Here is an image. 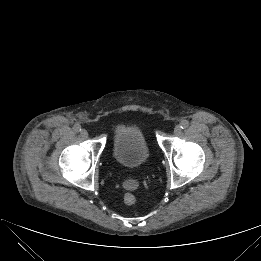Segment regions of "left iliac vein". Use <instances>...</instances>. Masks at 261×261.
<instances>
[{
	"mask_svg": "<svg viewBox=\"0 0 261 261\" xmlns=\"http://www.w3.org/2000/svg\"><path fill=\"white\" fill-rule=\"evenodd\" d=\"M173 132H174L175 135L180 134V133H181V127H180V125H176V126L174 127Z\"/></svg>",
	"mask_w": 261,
	"mask_h": 261,
	"instance_id": "4c4485c4",
	"label": "left iliac vein"
}]
</instances>
